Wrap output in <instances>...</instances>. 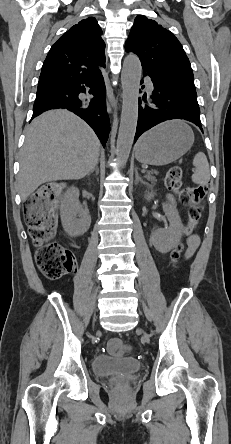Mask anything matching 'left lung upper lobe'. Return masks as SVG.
<instances>
[{
  "label": "left lung upper lobe",
  "mask_w": 231,
  "mask_h": 444,
  "mask_svg": "<svg viewBox=\"0 0 231 444\" xmlns=\"http://www.w3.org/2000/svg\"><path fill=\"white\" fill-rule=\"evenodd\" d=\"M125 50L138 55L144 72L160 75L171 85L196 91L193 71L181 43L156 21L138 15Z\"/></svg>",
  "instance_id": "obj_1"
}]
</instances>
